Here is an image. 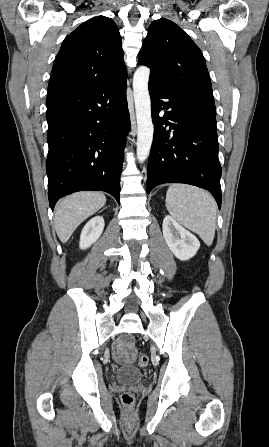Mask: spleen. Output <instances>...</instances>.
<instances>
[{
  "label": "spleen",
  "mask_w": 269,
  "mask_h": 447,
  "mask_svg": "<svg viewBox=\"0 0 269 447\" xmlns=\"http://www.w3.org/2000/svg\"><path fill=\"white\" fill-rule=\"evenodd\" d=\"M165 204L179 224L195 231L206 245H211L216 227V204L209 192L186 184H172L167 190Z\"/></svg>",
  "instance_id": "obj_1"
}]
</instances>
